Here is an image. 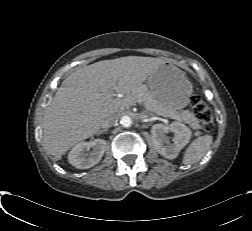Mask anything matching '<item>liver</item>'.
Listing matches in <instances>:
<instances>
[{"label":"liver","mask_w":252,"mask_h":231,"mask_svg":"<svg viewBox=\"0 0 252 231\" xmlns=\"http://www.w3.org/2000/svg\"><path fill=\"white\" fill-rule=\"evenodd\" d=\"M165 63L160 58L127 56L77 69L64 79L45 110L43 142L49 154L61 158L71 147L98 133L110 114H117L123 99H106L112 89L134 93Z\"/></svg>","instance_id":"6515ba94"}]
</instances>
